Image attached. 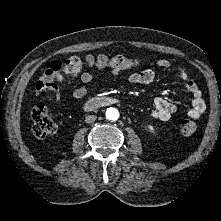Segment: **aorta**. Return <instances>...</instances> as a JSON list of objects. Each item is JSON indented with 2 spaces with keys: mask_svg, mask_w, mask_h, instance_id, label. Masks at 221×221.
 Wrapping results in <instances>:
<instances>
[{
  "mask_svg": "<svg viewBox=\"0 0 221 221\" xmlns=\"http://www.w3.org/2000/svg\"><path fill=\"white\" fill-rule=\"evenodd\" d=\"M105 115L108 120L116 121L119 117V112L116 108L110 107L106 110Z\"/></svg>",
  "mask_w": 221,
  "mask_h": 221,
  "instance_id": "1",
  "label": "aorta"
}]
</instances>
